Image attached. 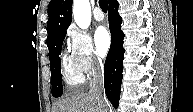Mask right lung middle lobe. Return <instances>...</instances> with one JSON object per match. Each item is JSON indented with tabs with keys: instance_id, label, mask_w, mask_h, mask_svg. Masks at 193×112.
Wrapping results in <instances>:
<instances>
[{
	"instance_id": "right-lung-middle-lobe-1",
	"label": "right lung middle lobe",
	"mask_w": 193,
	"mask_h": 112,
	"mask_svg": "<svg viewBox=\"0 0 193 112\" xmlns=\"http://www.w3.org/2000/svg\"><path fill=\"white\" fill-rule=\"evenodd\" d=\"M65 35L66 31L57 36L54 41L48 46L52 79V95L54 97H60L63 92L61 81L62 76L60 65V53Z\"/></svg>"
}]
</instances>
